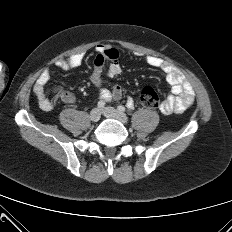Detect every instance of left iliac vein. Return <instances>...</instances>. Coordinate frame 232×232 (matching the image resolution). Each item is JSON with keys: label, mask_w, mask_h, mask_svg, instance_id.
<instances>
[{"label": "left iliac vein", "mask_w": 232, "mask_h": 232, "mask_svg": "<svg viewBox=\"0 0 232 232\" xmlns=\"http://www.w3.org/2000/svg\"><path fill=\"white\" fill-rule=\"evenodd\" d=\"M102 113L107 118L117 119L123 124H126L128 122V117L123 112H120L112 107H105L102 110Z\"/></svg>", "instance_id": "4c4485c4"}]
</instances>
